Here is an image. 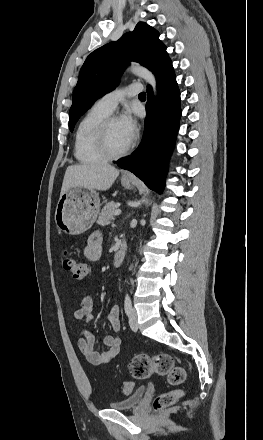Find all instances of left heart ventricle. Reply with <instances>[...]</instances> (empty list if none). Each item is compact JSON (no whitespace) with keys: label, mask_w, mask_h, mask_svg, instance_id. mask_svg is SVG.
<instances>
[{"label":"left heart ventricle","mask_w":263,"mask_h":440,"mask_svg":"<svg viewBox=\"0 0 263 440\" xmlns=\"http://www.w3.org/2000/svg\"><path fill=\"white\" fill-rule=\"evenodd\" d=\"M130 141L126 138L119 119L113 120L108 128V144L112 151L119 152L129 145Z\"/></svg>","instance_id":"obj_1"}]
</instances>
